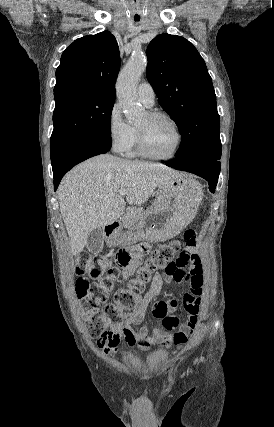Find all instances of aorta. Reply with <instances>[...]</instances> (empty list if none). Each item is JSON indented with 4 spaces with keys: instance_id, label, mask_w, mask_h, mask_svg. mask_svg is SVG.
<instances>
[{
    "instance_id": "aorta-1",
    "label": "aorta",
    "mask_w": 274,
    "mask_h": 427,
    "mask_svg": "<svg viewBox=\"0 0 274 427\" xmlns=\"http://www.w3.org/2000/svg\"><path fill=\"white\" fill-rule=\"evenodd\" d=\"M147 67L146 56L135 53L121 70L117 79V96L129 123L136 122L144 109L137 102V85Z\"/></svg>"
}]
</instances>
